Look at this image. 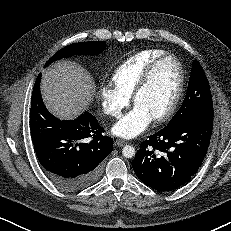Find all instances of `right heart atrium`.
Segmentation results:
<instances>
[{"label": "right heart atrium", "instance_id": "d8ad5b80", "mask_svg": "<svg viewBox=\"0 0 231 231\" xmlns=\"http://www.w3.org/2000/svg\"><path fill=\"white\" fill-rule=\"evenodd\" d=\"M99 100L103 112L114 118L120 117L122 111L130 104V97L110 83H104L100 86Z\"/></svg>", "mask_w": 231, "mask_h": 231}]
</instances>
